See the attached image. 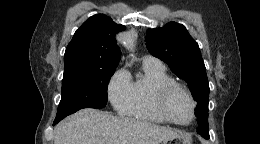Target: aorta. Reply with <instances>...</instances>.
Segmentation results:
<instances>
[{
    "label": "aorta",
    "instance_id": "obj_1",
    "mask_svg": "<svg viewBox=\"0 0 260 144\" xmlns=\"http://www.w3.org/2000/svg\"><path fill=\"white\" fill-rule=\"evenodd\" d=\"M135 36L132 33L126 35L124 44L127 48H132L134 43Z\"/></svg>",
    "mask_w": 260,
    "mask_h": 144
}]
</instances>
